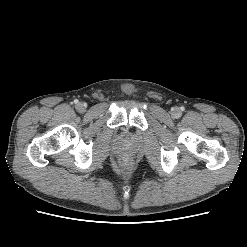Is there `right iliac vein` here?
Returning a JSON list of instances; mask_svg holds the SVG:
<instances>
[{"label":"right iliac vein","mask_w":247,"mask_h":247,"mask_svg":"<svg viewBox=\"0 0 247 247\" xmlns=\"http://www.w3.org/2000/svg\"><path fill=\"white\" fill-rule=\"evenodd\" d=\"M76 109H77V111L83 113L86 110V105L84 103L80 102L76 105Z\"/></svg>","instance_id":"63e3f726"}]
</instances>
